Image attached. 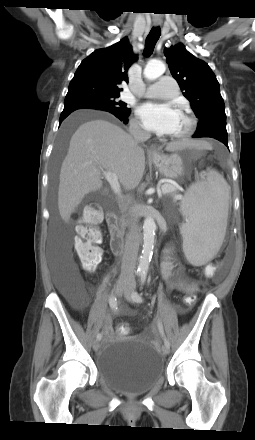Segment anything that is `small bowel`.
I'll use <instances>...</instances> for the list:
<instances>
[{
	"label": "small bowel",
	"mask_w": 255,
	"mask_h": 440,
	"mask_svg": "<svg viewBox=\"0 0 255 440\" xmlns=\"http://www.w3.org/2000/svg\"><path fill=\"white\" fill-rule=\"evenodd\" d=\"M171 248L167 247L164 251V261L162 263V274L167 286L172 290L181 291L184 293H195L199 291L198 285L193 282L185 280L183 277H172V265L169 261ZM107 330L110 331L109 323H107Z\"/></svg>",
	"instance_id": "obj_1"
}]
</instances>
